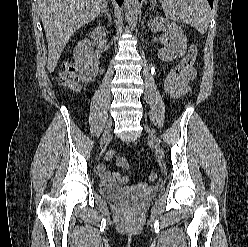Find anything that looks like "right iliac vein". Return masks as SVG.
Listing matches in <instances>:
<instances>
[{"label":"right iliac vein","mask_w":248,"mask_h":247,"mask_svg":"<svg viewBox=\"0 0 248 247\" xmlns=\"http://www.w3.org/2000/svg\"><path fill=\"white\" fill-rule=\"evenodd\" d=\"M110 130L111 129H110V124H109L107 129H106V131H105V133H104V135H103V137H102V139H101L102 144H105L108 140H110V138H111Z\"/></svg>","instance_id":"63e3f726"}]
</instances>
